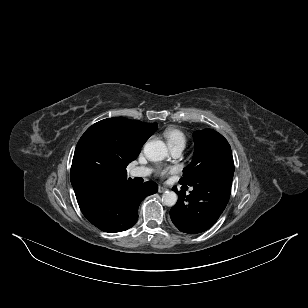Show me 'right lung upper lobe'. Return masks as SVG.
<instances>
[{
  "instance_id": "right-lung-upper-lobe-1",
  "label": "right lung upper lobe",
  "mask_w": 308,
  "mask_h": 308,
  "mask_svg": "<svg viewBox=\"0 0 308 308\" xmlns=\"http://www.w3.org/2000/svg\"><path fill=\"white\" fill-rule=\"evenodd\" d=\"M156 130L157 123L124 117L104 119L90 126L76 146L70 172L79 206L132 181L127 179L126 167Z\"/></svg>"
}]
</instances>
